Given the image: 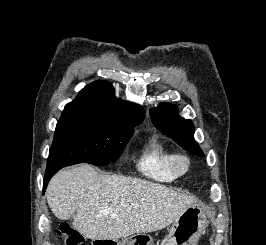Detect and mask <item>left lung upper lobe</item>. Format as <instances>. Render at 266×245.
I'll return each mask as SVG.
<instances>
[{"instance_id":"left-lung-upper-lobe-1","label":"left lung upper lobe","mask_w":266,"mask_h":245,"mask_svg":"<svg viewBox=\"0 0 266 245\" xmlns=\"http://www.w3.org/2000/svg\"><path fill=\"white\" fill-rule=\"evenodd\" d=\"M171 104L161 103L150 110L155 127L163 134L177 141L180 146L192 154L203 157L204 154L193 138L194 125L191 120L180 117Z\"/></svg>"}]
</instances>
